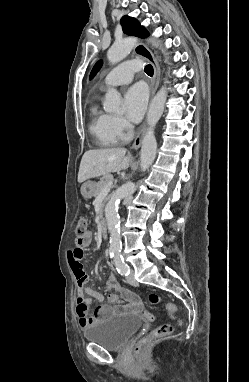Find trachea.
I'll return each mask as SVG.
<instances>
[{
    "label": "trachea",
    "instance_id": "3493384b",
    "mask_svg": "<svg viewBox=\"0 0 249 382\" xmlns=\"http://www.w3.org/2000/svg\"><path fill=\"white\" fill-rule=\"evenodd\" d=\"M144 70H145V73L149 76H152L154 73L153 67L150 64L146 65Z\"/></svg>",
    "mask_w": 249,
    "mask_h": 382
}]
</instances>
